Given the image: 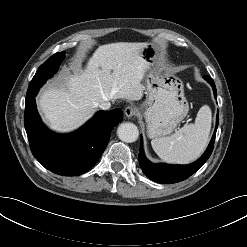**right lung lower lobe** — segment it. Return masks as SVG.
<instances>
[{
  "instance_id": "obj_1",
  "label": "right lung lower lobe",
  "mask_w": 247,
  "mask_h": 247,
  "mask_svg": "<svg viewBox=\"0 0 247 247\" xmlns=\"http://www.w3.org/2000/svg\"><path fill=\"white\" fill-rule=\"evenodd\" d=\"M42 84H30L26 94L24 124L33 156L53 173L76 176L87 172L103 154L110 133L123 119L120 109L99 111L80 130L56 135L41 122L35 96Z\"/></svg>"
}]
</instances>
